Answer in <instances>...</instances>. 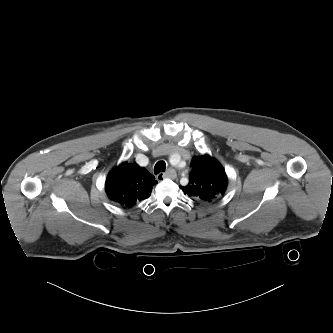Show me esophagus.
Returning <instances> with one entry per match:
<instances>
[{
	"mask_svg": "<svg viewBox=\"0 0 333 333\" xmlns=\"http://www.w3.org/2000/svg\"><path fill=\"white\" fill-rule=\"evenodd\" d=\"M165 178H169V179H175L176 178V172L174 169H168L166 172L164 173H160L157 175V180H162Z\"/></svg>",
	"mask_w": 333,
	"mask_h": 333,
	"instance_id": "34e87169",
	"label": "esophagus"
}]
</instances>
